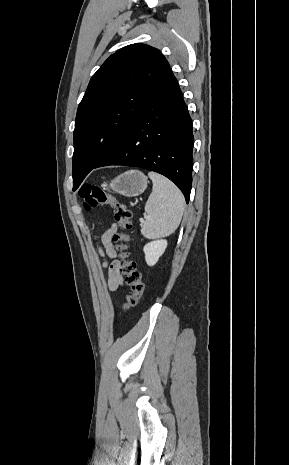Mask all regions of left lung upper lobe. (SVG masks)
Segmentation results:
<instances>
[{
    "label": "left lung upper lobe",
    "mask_w": 289,
    "mask_h": 465,
    "mask_svg": "<svg viewBox=\"0 0 289 465\" xmlns=\"http://www.w3.org/2000/svg\"><path fill=\"white\" fill-rule=\"evenodd\" d=\"M172 75L162 53L145 44L125 46L104 62L77 110L73 190L130 126L149 96Z\"/></svg>",
    "instance_id": "5c2ea615"
}]
</instances>
